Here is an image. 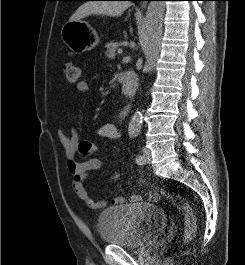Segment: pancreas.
<instances>
[{"instance_id":"cf45deb5","label":"pancreas","mask_w":245,"mask_h":265,"mask_svg":"<svg viewBox=\"0 0 245 265\" xmlns=\"http://www.w3.org/2000/svg\"><path fill=\"white\" fill-rule=\"evenodd\" d=\"M105 47H106L105 56L108 59H115L116 50L118 49L119 44L117 42L111 41L110 43H107Z\"/></svg>"}]
</instances>
